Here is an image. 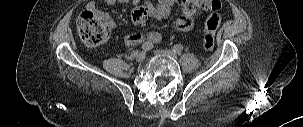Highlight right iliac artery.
Here are the masks:
<instances>
[{
    "mask_svg": "<svg viewBox=\"0 0 303 127\" xmlns=\"http://www.w3.org/2000/svg\"><path fill=\"white\" fill-rule=\"evenodd\" d=\"M141 48H142V50H143L144 52H147V51H150V50L153 48V44L146 42V43H144V44L142 45Z\"/></svg>",
    "mask_w": 303,
    "mask_h": 127,
    "instance_id": "82829eb1",
    "label": "right iliac artery"
}]
</instances>
